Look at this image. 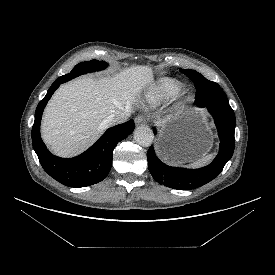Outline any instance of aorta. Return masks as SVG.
Returning a JSON list of instances; mask_svg holds the SVG:
<instances>
[{"label":"aorta","instance_id":"1","mask_svg":"<svg viewBox=\"0 0 275 275\" xmlns=\"http://www.w3.org/2000/svg\"><path fill=\"white\" fill-rule=\"evenodd\" d=\"M153 138V131L146 125L139 126L134 131V140L143 147H149Z\"/></svg>","mask_w":275,"mask_h":275}]
</instances>
